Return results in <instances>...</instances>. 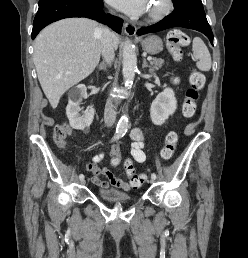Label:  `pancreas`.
I'll list each match as a JSON object with an SVG mask.
<instances>
[{"label":"pancreas","mask_w":248,"mask_h":258,"mask_svg":"<svg viewBox=\"0 0 248 258\" xmlns=\"http://www.w3.org/2000/svg\"><path fill=\"white\" fill-rule=\"evenodd\" d=\"M164 61L162 59H152L150 61V65L153 69L157 70L158 68H161Z\"/></svg>","instance_id":"cf45deb5"}]
</instances>
